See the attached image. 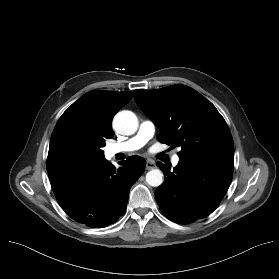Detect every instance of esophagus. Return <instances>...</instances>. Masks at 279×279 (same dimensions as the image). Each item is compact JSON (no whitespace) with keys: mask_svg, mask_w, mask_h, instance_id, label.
Returning <instances> with one entry per match:
<instances>
[{"mask_svg":"<svg viewBox=\"0 0 279 279\" xmlns=\"http://www.w3.org/2000/svg\"><path fill=\"white\" fill-rule=\"evenodd\" d=\"M155 167H156V165L153 161L147 160V162H146V169L147 170L154 169Z\"/></svg>","mask_w":279,"mask_h":279,"instance_id":"obj_1","label":"esophagus"}]
</instances>
